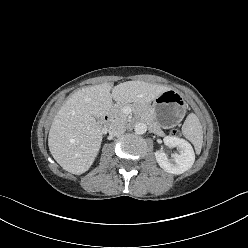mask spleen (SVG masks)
<instances>
[{
	"mask_svg": "<svg viewBox=\"0 0 248 248\" xmlns=\"http://www.w3.org/2000/svg\"><path fill=\"white\" fill-rule=\"evenodd\" d=\"M182 133L193 143L195 149L200 152L203 143V131L201 123L194 113H190L187 116L182 126Z\"/></svg>",
	"mask_w": 248,
	"mask_h": 248,
	"instance_id": "1",
	"label": "spleen"
}]
</instances>
